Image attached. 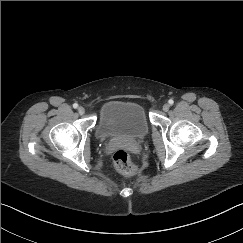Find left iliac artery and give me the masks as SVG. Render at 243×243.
Returning a JSON list of instances; mask_svg holds the SVG:
<instances>
[{
	"mask_svg": "<svg viewBox=\"0 0 243 243\" xmlns=\"http://www.w3.org/2000/svg\"><path fill=\"white\" fill-rule=\"evenodd\" d=\"M168 103H169L170 105H172V104L174 103V101H173L172 99H170V100L168 101Z\"/></svg>",
	"mask_w": 243,
	"mask_h": 243,
	"instance_id": "1",
	"label": "left iliac artery"
}]
</instances>
